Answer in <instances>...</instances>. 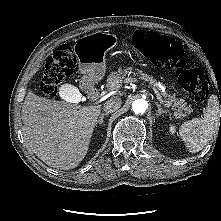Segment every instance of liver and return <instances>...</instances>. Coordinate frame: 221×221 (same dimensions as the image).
Wrapping results in <instances>:
<instances>
[{
	"instance_id": "1",
	"label": "liver",
	"mask_w": 221,
	"mask_h": 221,
	"mask_svg": "<svg viewBox=\"0 0 221 221\" xmlns=\"http://www.w3.org/2000/svg\"><path fill=\"white\" fill-rule=\"evenodd\" d=\"M77 102L49 100L33 92L25 97L21 113L24 138L49 166L73 169L86 156L101 106H81Z\"/></svg>"
}]
</instances>
